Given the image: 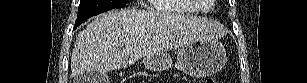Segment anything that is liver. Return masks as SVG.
<instances>
[{
	"instance_id": "6515ba94",
	"label": "liver",
	"mask_w": 307,
	"mask_h": 83,
	"mask_svg": "<svg viewBox=\"0 0 307 83\" xmlns=\"http://www.w3.org/2000/svg\"><path fill=\"white\" fill-rule=\"evenodd\" d=\"M223 28L204 18L113 10L96 16L81 31L71 56V78L88 72L106 73L142 57L222 35Z\"/></svg>"
}]
</instances>
